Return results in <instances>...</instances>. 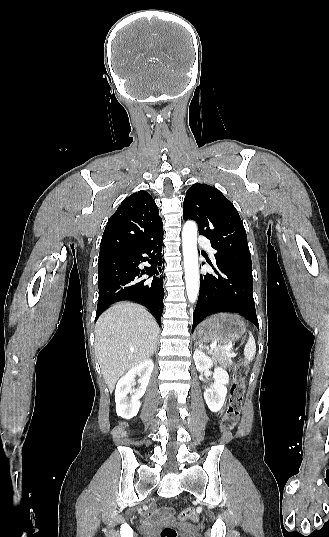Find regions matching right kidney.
Listing matches in <instances>:
<instances>
[{"mask_svg":"<svg viewBox=\"0 0 329 537\" xmlns=\"http://www.w3.org/2000/svg\"><path fill=\"white\" fill-rule=\"evenodd\" d=\"M154 363L151 359L145 360L131 368L117 383L115 389L116 412L118 416L131 419L137 415L140 408V398L144 395L148 386ZM140 375V386L132 389L135 376ZM130 394V397H128Z\"/></svg>","mask_w":329,"mask_h":537,"instance_id":"ca27d5eb","label":"right kidney"}]
</instances>
